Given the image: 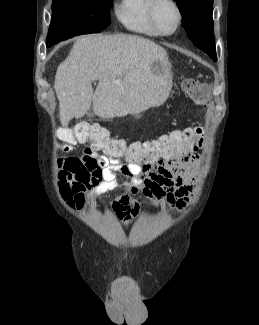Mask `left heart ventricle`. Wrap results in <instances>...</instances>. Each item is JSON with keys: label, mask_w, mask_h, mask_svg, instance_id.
<instances>
[{"label": "left heart ventricle", "mask_w": 259, "mask_h": 325, "mask_svg": "<svg viewBox=\"0 0 259 325\" xmlns=\"http://www.w3.org/2000/svg\"><path fill=\"white\" fill-rule=\"evenodd\" d=\"M156 22L163 32H171L177 23L178 15L175 7L167 2H161L155 12Z\"/></svg>", "instance_id": "obj_1"}]
</instances>
